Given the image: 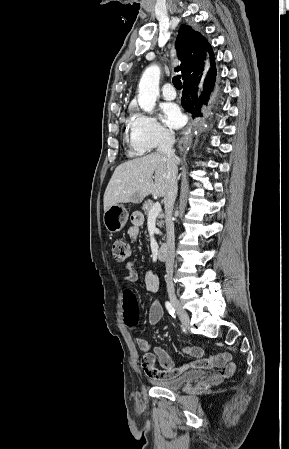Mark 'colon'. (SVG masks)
Masks as SVG:
<instances>
[{"label":"colon","mask_w":289,"mask_h":449,"mask_svg":"<svg viewBox=\"0 0 289 449\" xmlns=\"http://www.w3.org/2000/svg\"><path fill=\"white\" fill-rule=\"evenodd\" d=\"M131 250L128 243L123 240L117 239L112 244L113 258L118 262L125 261L130 256ZM127 297L124 302V309L126 310V322L128 325L135 324L137 322V310L139 309V302L132 295L131 291L127 292Z\"/></svg>","instance_id":"1"}]
</instances>
